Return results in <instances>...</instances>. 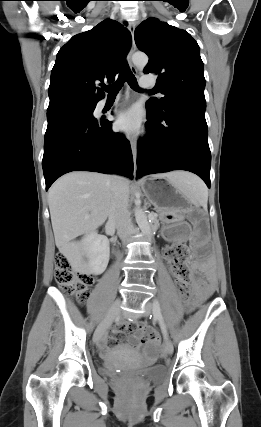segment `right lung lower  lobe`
Masks as SVG:
<instances>
[{"label": "right lung lower lobe", "mask_w": 261, "mask_h": 427, "mask_svg": "<svg viewBox=\"0 0 261 427\" xmlns=\"http://www.w3.org/2000/svg\"><path fill=\"white\" fill-rule=\"evenodd\" d=\"M106 119L64 116L48 120L42 160L46 190L61 175L78 170L131 177L129 141Z\"/></svg>", "instance_id": "98d812e1"}]
</instances>
